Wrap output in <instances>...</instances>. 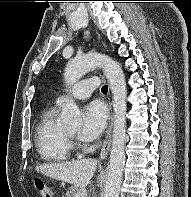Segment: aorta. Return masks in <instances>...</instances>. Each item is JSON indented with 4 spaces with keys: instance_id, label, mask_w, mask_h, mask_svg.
Segmentation results:
<instances>
[{
    "instance_id": "762f6f07",
    "label": "aorta",
    "mask_w": 191,
    "mask_h": 197,
    "mask_svg": "<svg viewBox=\"0 0 191 197\" xmlns=\"http://www.w3.org/2000/svg\"><path fill=\"white\" fill-rule=\"evenodd\" d=\"M96 67L103 69L110 84L114 110L113 141L104 197H119L126 144L127 88L124 73L120 65L112 58L94 53L69 61L64 71V80L67 86H71ZM59 122L66 127L80 128L82 126L79 108L73 100H67L64 104Z\"/></svg>"
}]
</instances>
